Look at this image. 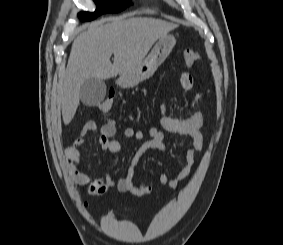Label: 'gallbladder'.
<instances>
[{"label":"gallbladder","mask_w":283,"mask_h":245,"mask_svg":"<svg viewBox=\"0 0 283 245\" xmlns=\"http://www.w3.org/2000/svg\"><path fill=\"white\" fill-rule=\"evenodd\" d=\"M106 95L105 82L98 78H89L80 88V100L86 106H95L101 103Z\"/></svg>","instance_id":"gallbladder-1"}]
</instances>
